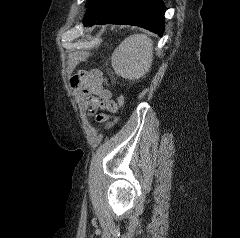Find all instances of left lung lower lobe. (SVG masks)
<instances>
[{
	"instance_id": "0a47b994",
	"label": "left lung lower lobe",
	"mask_w": 240,
	"mask_h": 238,
	"mask_svg": "<svg viewBox=\"0 0 240 238\" xmlns=\"http://www.w3.org/2000/svg\"><path fill=\"white\" fill-rule=\"evenodd\" d=\"M164 13L162 0H92L83 23L136 25L162 36Z\"/></svg>"
}]
</instances>
